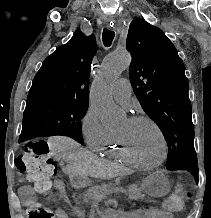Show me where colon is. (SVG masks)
Segmentation results:
<instances>
[{
  "mask_svg": "<svg viewBox=\"0 0 211 218\" xmlns=\"http://www.w3.org/2000/svg\"><path fill=\"white\" fill-rule=\"evenodd\" d=\"M16 167L34 185L38 193L48 194L52 190L57 167L45 141L29 140L24 151L16 158ZM185 197L186 193L179 190L166 201V208L173 211L180 209ZM28 218H54V213L48 207L36 203L29 207Z\"/></svg>",
  "mask_w": 211,
  "mask_h": 218,
  "instance_id": "5ec220e1",
  "label": "colon"
}]
</instances>
